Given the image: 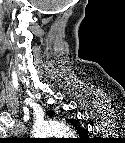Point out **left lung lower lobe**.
I'll use <instances>...</instances> for the list:
<instances>
[{
	"label": "left lung lower lobe",
	"mask_w": 125,
	"mask_h": 143,
	"mask_svg": "<svg viewBox=\"0 0 125 143\" xmlns=\"http://www.w3.org/2000/svg\"><path fill=\"white\" fill-rule=\"evenodd\" d=\"M71 124H73L75 127H76V121L75 120H71V119H69L68 120ZM87 134H88V132L87 131H84V132H82L81 134H79L81 137H87Z\"/></svg>",
	"instance_id": "obj_1"
}]
</instances>
